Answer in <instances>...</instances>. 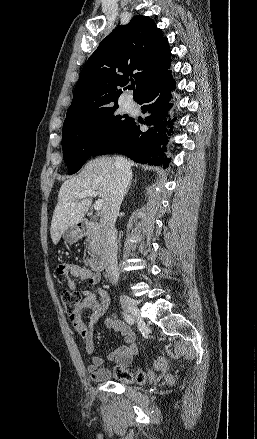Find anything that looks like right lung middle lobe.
<instances>
[{"label": "right lung middle lobe", "mask_w": 257, "mask_h": 439, "mask_svg": "<svg viewBox=\"0 0 257 439\" xmlns=\"http://www.w3.org/2000/svg\"><path fill=\"white\" fill-rule=\"evenodd\" d=\"M118 104L64 122L62 148L69 174L76 173L108 140L117 136L130 122L131 117L115 113Z\"/></svg>", "instance_id": "1"}]
</instances>
